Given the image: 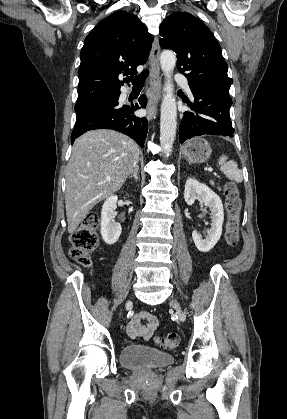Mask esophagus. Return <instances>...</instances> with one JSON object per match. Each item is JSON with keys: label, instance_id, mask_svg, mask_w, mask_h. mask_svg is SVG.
<instances>
[{"label": "esophagus", "instance_id": "obj_1", "mask_svg": "<svg viewBox=\"0 0 287 419\" xmlns=\"http://www.w3.org/2000/svg\"><path fill=\"white\" fill-rule=\"evenodd\" d=\"M160 46L158 38H155L150 53L151 72L149 79V102L147 106V119L150 121L157 115L158 104L162 95V83L159 68Z\"/></svg>", "mask_w": 287, "mask_h": 419}]
</instances>
